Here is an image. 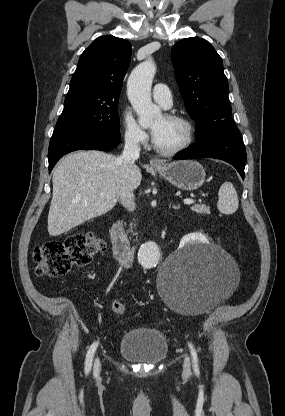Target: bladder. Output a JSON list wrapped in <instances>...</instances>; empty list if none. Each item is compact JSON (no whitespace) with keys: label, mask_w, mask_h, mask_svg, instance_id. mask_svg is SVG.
Here are the masks:
<instances>
[{"label":"bladder","mask_w":285,"mask_h":416,"mask_svg":"<svg viewBox=\"0 0 285 416\" xmlns=\"http://www.w3.org/2000/svg\"><path fill=\"white\" fill-rule=\"evenodd\" d=\"M167 348L165 335L159 329L138 327L124 333L118 352L133 362L154 363L166 356Z\"/></svg>","instance_id":"bladder-1"}]
</instances>
